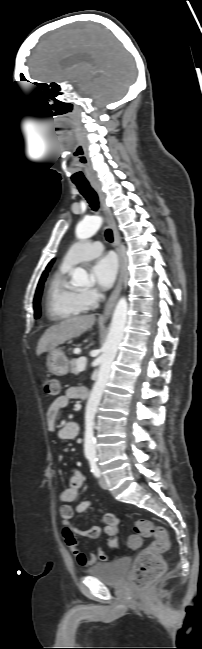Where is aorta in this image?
<instances>
[{
	"mask_svg": "<svg viewBox=\"0 0 202 649\" xmlns=\"http://www.w3.org/2000/svg\"><path fill=\"white\" fill-rule=\"evenodd\" d=\"M102 218L99 216H90L83 219L76 226V237L84 240L92 237L101 227ZM73 284H84L88 282V273L85 269L77 267L72 271ZM128 303L125 297H121L114 309L112 321L106 341L102 348V354L99 357L100 367L97 379L92 388L87 401L85 410V434H84V451L85 454L93 455L96 453V440L94 437V418L99 406L103 391L108 382L111 365L116 356L118 347L124 335L125 325L127 322Z\"/></svg>",
	"mask_w": 202,
	"mask_h": 649,
	"instance_id": "762f6f07",
	"label": "aorta"
}]
</instances>
